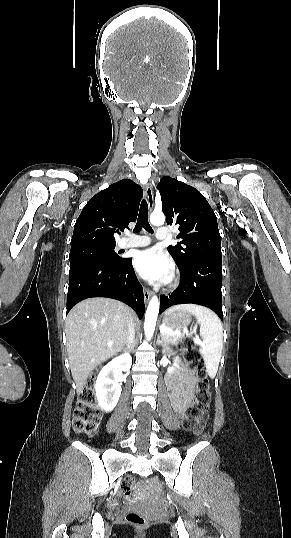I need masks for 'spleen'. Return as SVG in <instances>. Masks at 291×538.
I'll use <instances>...</instances> for the list:
<instances>
[{"instance_id":"1","label":"spleen","mask_w":291,"mask_h":538,"mask_svg":"<svg viewBox=\"0 0 291 538\" xmlns=\"http://www.w3.org/2000/svg\"><path fill=\"white\" fill-rule=\"evenodd\" d=\"M187 311L192 313L200 324V337L203 346L200 353L204 358L206 371L211 378L216 376L223 347L222 325L210 309L195 304L175 305L167 312Z\"/></svg>"}]
</instances>
